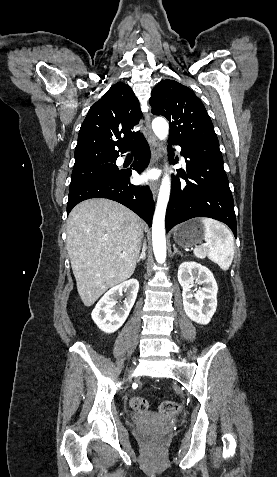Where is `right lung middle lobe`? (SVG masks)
I'll list each match as a JSON object with an SVG mask.
<instances>
[{
	"mask_svg": "<svg viewBox=\"0 0 277 477\" xmlns=\"http://www.w3.org/2000/svg\"><path fill=\"white\" fill-rule=\"evenodd\" d=\"M115 160L73 168L70 188L91 179L97 175L118 171Z\"/></svg>",
	"mask_w": 277,
	"mask_h": 477,
	"instance_id": "dd1d6c3e",
	"label": "right lung middle lobe"
}]
</instances>
